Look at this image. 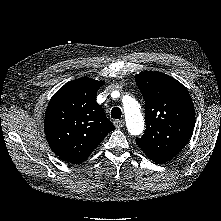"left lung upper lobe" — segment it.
Listing matches in <instances>:
<instances>
[{
	"instance_id": "obj_1",
	"label": "left lung upper lobe",
	"mask_w": 221,
	"mask_h": 221,
	"mask_svg": "<svg viewBox=\"0 0 221 221\" xmlns=\"http://www.w3.org/2000/svg\"><path fill=\"white\" fill-rule=\"evenodd\" d=\"M145 100L146 129L136 143L145 155L157 163L175 157L189 141L195 111L187 89L176 79L160 72L135 75Z\"/></svg>"
}]
</instances>
